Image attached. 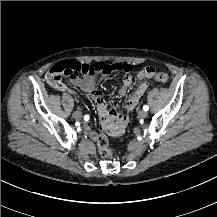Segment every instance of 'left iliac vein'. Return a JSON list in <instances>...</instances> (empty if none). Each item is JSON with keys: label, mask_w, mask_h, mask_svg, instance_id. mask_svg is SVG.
Listing matches in <instances>:
<instances>
[{"label": "left iliac vein", "mask_w": 217, "mask_h": 217, "mask_svg": "<svg viewBox=\"0 0 217 217\" xmlns=\"http://www.w3.org/2000/svg\"><path fill=\"white\" fill-rule=\"evenodd\" d=\"M147 115H148V113H147L145 110H140V111L138 112V116H139L140 118H146Z\"/></svg>", "instance_id": "left-iliac-vein-1"}]
</instances>
